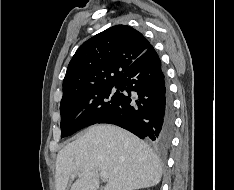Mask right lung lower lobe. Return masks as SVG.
I'll return each instance as SVG.
<instances>
[{
	"mask_svg": "<svg viewBox=\"0 0 234 190\" xmlns=\"http://www.w3.org/2000/svg\"><path fill=\"white\" fill-rule=\"evenodd\" d=\"M117 84L127 94L120 93L115 107L98 123L118 125L166 148L173 134L174 115L161 62L153 46L124 71Z\"/></svg>",
	"mask_w": 234,
	"mask_h": 190,
	"instance_id": "right-lung-lower-lobe-1",
	"label": "right lung lower lobe"
}]
</instances>
